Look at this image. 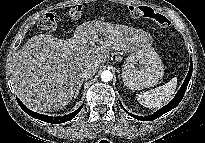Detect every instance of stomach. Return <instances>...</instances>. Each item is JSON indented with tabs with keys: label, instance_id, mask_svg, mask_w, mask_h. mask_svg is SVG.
Listing matches in <instances>:
<instances>
[{
	"label": "stomach",
	"instance_id": "0dacf381",
	"mask_svg": "<svg viewBox=\"0 0 205 143\" xmlns=\"http://www.w3.org/2000/svg\"><path fill=\"white\" fill-rule=\"evenodd\" d=\"M164 75L161 58L152 47L141 48L125 61L122 77L124 84L132 90H141L157 85Z\"/></svg>",
	"mask_w": 205,
	"mask_h": 143
}]
</instances>
